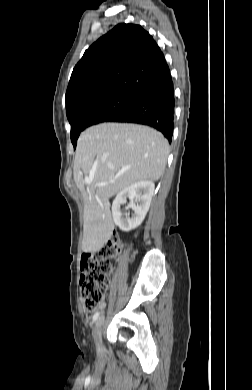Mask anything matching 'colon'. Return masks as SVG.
I'll use <instances>...</instances> for the list:
<instances>
[{
	"label": "colon",
	"mask_w": 252,
	"mask_h": 390,
	"mask_svg": "<svg viewBox=\"0 0 252 390\" xmlns=\"http://www.w3.org/2000/svg\"><path fill=\"white\" fill-rule=\"evenodd\" d=\"M121 247V239L113 236L97 255L84 257L81 265L80 286L84 308L87 312L93 313L100 307L110 284L112 269L109 260L118 255Z\"/></svg>",
	"instance_id": "colon-1"
}]
</instances>
